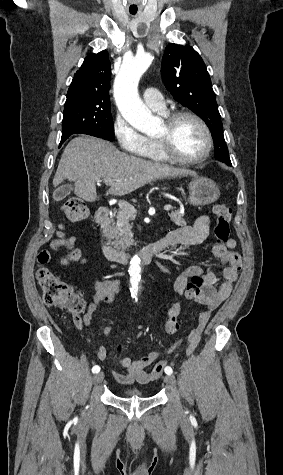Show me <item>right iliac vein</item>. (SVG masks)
<instances>
[{"label": "right iliac vein", "mask_w": 283, "mask_h": 475, "mask_svg": "<svg viewBox=\"0 0 283 475\" xmlns=\"http://www.w3.org/2000/svg\"><path fill=\"white\" fill-rule=\"evenodd\" d=\"M103 378H104L103 372H99V373L94 375L93 379H94L95 383H100V382H102Z\"/></svg>", "instance_id": "obj_1"}]
</instances>
